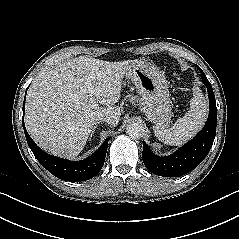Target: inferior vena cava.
Segmentation results:
<instances>
[{
	"mask_svg": "<svg viewBox=\"0 0 239 239\" xmlns=\"http://www.w3.org/2000/svg\"><path fill=\"white\" fill-rule=\"evenodd\" d=\"M94 120L97 121V122L98 121H104V122H106L108 124H111L113 122V119L111 117L103 116V115L95 117Z\"/></svg>",
	"mask_w": 239,
	"mask_h": 239,
	"instance_id": "inferior-vena-cava-1",
	"label": "inferior vena cava"
}]
</instances>
